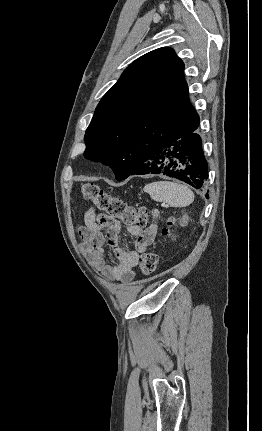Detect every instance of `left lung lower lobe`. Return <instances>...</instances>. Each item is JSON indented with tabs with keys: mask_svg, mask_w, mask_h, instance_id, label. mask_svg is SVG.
<instances>
[{
	"mask_svg": "<svg viewBox=\"0 0 262 431\" xmlns=\"http://www.w3.org/2000/svg\"><path fill=\"white\" fill-rule=\"evenodd\" d=\"M198 131L199 119L139 157L130 175L163 174L184 181L196 189L206 188L208 163Z\"/></svg>",
	"mask_w": 262,
	"mask_h": 431,
	"instance_id": "obj_1",
	"label": "left lung lower lobe"
}]
</instances>
